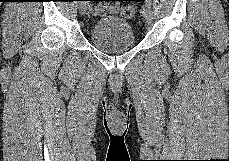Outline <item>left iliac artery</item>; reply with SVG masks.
<instances>
[{
  "instance_id": "obj_1",
  "label": "left iliac artery",
  "mask_w": 229,
  "mask_h": 161,
  "mask_svg": "<svg viewBox=\"0 0 229 161\" xmlns=\"http://www.w3.org/2000/svg\"><path fill=\"white\" fill-rule=\"evenodd\" d=\"M146 4L151 5V0H145Z\"/></svg>"
}]
</instances>
